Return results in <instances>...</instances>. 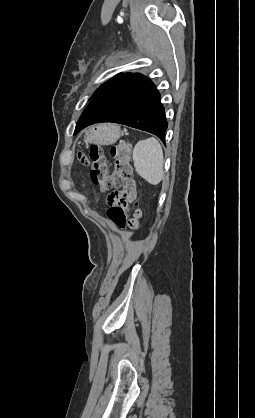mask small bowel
Masks as SVG:
<instances>
[{
	"mask_svg": "<svg viewBox=\"0 0 255 418\" xmlns=\"http://www.w3.org/2000/svg\"><path fill=\"white\" fill-rule=\"evenodd\" d=\"M136 190H135V184L133 181H130L128 183H126L125 188H124V192L123 195L127 198V199H132L135 196Z\"/></svg>",
	"mask_w": 255,
	"mask_h": 418,
	"instance_id": "small-bowel-1",
	"label": "small bowel"
}]
</instances>
